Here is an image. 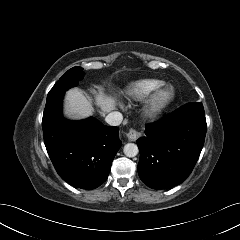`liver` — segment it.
Masks as SVG:
<instances>
[{
    "instance_id": "obj_1",
    "label": "liver",
    "mask_w": 240,
    "mask_h": 240,
    "mask_svg": "<svg viewBox=\"0 0 240 240\" xmlns=\"http://www.w3.org/2000/svg\"><path fill=\"white\" fill-rule=\"evenodd\" d=\"M96 105L100 107L102 113H108L115 109L116 100L113 97L105 96L102 91L96 94ZM94 112L91 102L82 91L73 88L66 93L65 113L73 119H84Z\"/></svg>"
}]
</instances>
